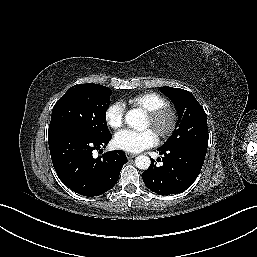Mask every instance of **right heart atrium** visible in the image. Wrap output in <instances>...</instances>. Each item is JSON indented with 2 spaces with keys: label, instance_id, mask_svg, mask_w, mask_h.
I'll use <instances>...</instances> for the list:
<instances>
[{
  "label": "right heart atrium",
  "instance_id": "right-heart-atrium-1",
  "mask_svg": "<svg viewBox=\"0 0 257 257\" xmlns=\"http://www.w3.org/2000/svg\"><path fill=\"white\" fill-rule=\"evenodd\" d=\"M104 118L109 128L119 130L125 121V106L120 101L111 103L105 110Z\"/></svg>",
  "mask_w": 257,
  "mask_h": 257
}]
</instances>
